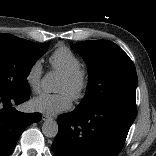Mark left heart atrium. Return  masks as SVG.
Segmentation results:
<instances>
[{
  "instance_id": "39dd6f15",
  "label": "left heart atrium",
  "mask_w": 156,
  "mask_h": 156,
  "mask_svg": "<svg viewBox=\"0 0 156 156\" xmlns=\"http://www.w3.org/2000/svg\"><path fill=\"white\" fill-rule=\"evenodd\" d=\"M32 109L47 115H56L67 111L72 106V97L64 92L41 94L31 101Z\"/></svg>"
}]
</instances>
